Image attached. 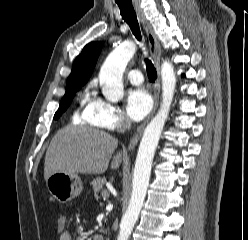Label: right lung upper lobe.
Segmentation results:
<instances>
[{
  "label": "right lung upper lobe",
  "instance_id": "1",
  "mask_svg": "<svg viewBox=\"0 0 248 240\" xmlns=\"http://www.w3.org/2000/svg\"><path fill=\"white\" fill-rule=\"evenodd\" d=\"M102 46V42H91L83 48L81 54L74 61L67 82L79 81L84 85L88 81L94 70Z\"/></svg>",
  "mask_w": 248,
  "mask_h": 240
}]
</instances>
